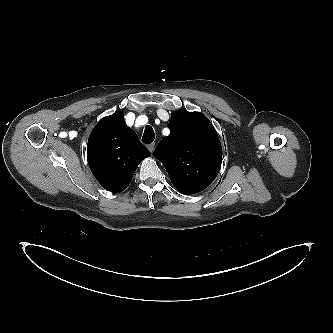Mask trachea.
<instances>
[{
    "label": "trachea",
    "instance_id": "3493384b",
    "mask_svg": "<svg viewBox=\"0 0 333 333\" xmlns=\"http://www.w3.org/2000/svg\"><path fill=\"white\" fill-rule=\"evenodd\" d=\"M155 133L151 126L147 125L144 130L142 141L145 144H151L154 141Z\"/></svg>",
    "mask_w": 333,
    "mask_h": 333
}]
</instances>
